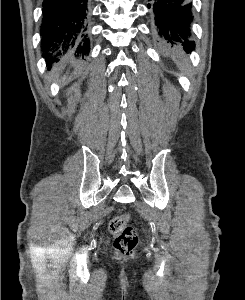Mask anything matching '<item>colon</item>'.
<instances>
[{"label":"colon","mask_w":245,"mask_h":300,"mask_svg":"<svg viewBox=\"0 0 245 300\" xmlns=\"http://www.w3.org/2000/svg\"><path fill=\"white\" fill-rule=\"evenodd\" d=\"M130 219V214L123 213L109 222V231L114 238V248L122 256L133 255L138 244V234L130 225Z\"/></svg>","instance_id":"obj_1"}]
</instances>
